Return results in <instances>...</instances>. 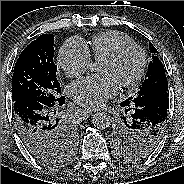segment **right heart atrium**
I'll return each mask as SVG.
<instances>
[{"label": "right heart atrium", "mask_w": 184, "mask_h": 184, "mask_svg": "<svg viewBox=\"0 0 184 184\" xmlns=\"http://www.w3.org/2000/svg\"><path fill=\"white\" fill-rule=\"evenodd\" d=\"M57 62L68 77H78L91 64V56L86 43L77 37L68 39L60 48Z\"/></svg>", "instance_id": "1"}]
</instances>
